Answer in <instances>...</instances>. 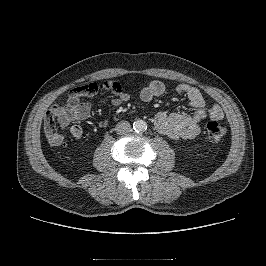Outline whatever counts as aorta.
<instances>
[{
    "mask_svg": "<svg viewBox=\"0 0 266 266\" xmlns=\"http://www.w3.org/2000/svg\"><path fill=\"white\" fill-rule=\"evenodd\" d=\"M133 129L135 130V132H144L147 129V124L144 120L139 119L134 121L133 123Z\"/></svg>",
    "mask_w": 266,
    "mask_h": 266,
    "instance_id": "obj_1",
    "label": "aorta"
}]
</instances>
